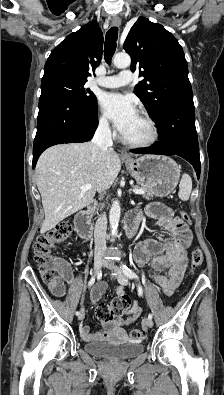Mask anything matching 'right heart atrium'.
<instances>
[{"mask_svg":"<svg viewBox=\"0 0 224 395\" xmlns=\"http://www.w3.org/2000/svg\"><path fill=\"white\" fill-rule=\"evenodd\" d=\"M97 125H98V128L103 132H107L110 130L109 122H108L107 118L102 114L98 116Z\"/></svg>","mask_w":224,"mask_h":395,"instance_id":"1","label":"right heart atrium"}]
</instances>
